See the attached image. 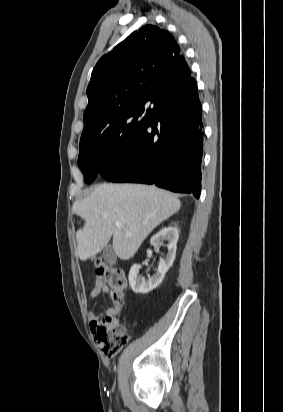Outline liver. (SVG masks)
<instances>
[{
	"label": "liver",
	"instance_id": "6515ba94",
	"mask_svg": "<svg viewBox=\"0 0 283 412\" xmlns=\"http://www.w3.org/2000/svg\"><path fill=\"white\" fill-rule=\"evenodd\" d=\"M180 205L177 197L155 186L99 185L73 205V213L85 220L76 233L80 260L98 254L111 237L116 255L130 259L153 229L176 213ZM116 221L122 223L121 228L115 226Z\"/></svg>",
	"mask_w": 283,
	"mask_h": 412
}]
</instances>
